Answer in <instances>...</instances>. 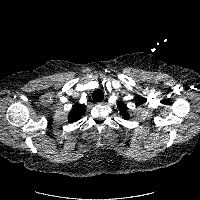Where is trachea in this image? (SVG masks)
I'll return each mask as SVG.
<instances>
[{
    "instance_id": "obj_1",
    "label": "trachea",
    "mask_w": 200,
    "mask_h": 200,
    "mask_svg": "<svg viewBox=\"0 0 200 200\" xmlns=\"http://www.w3.org/2000/svg\"><path fill=\"white\" fill-rule=\"evenodd\" d=\"M103 97H104V93H103V91L100 90V89H97V90H95V91L92 93V99H93L94 101H100V100L103 99Z\"/></svg>"
}]
</instances>
